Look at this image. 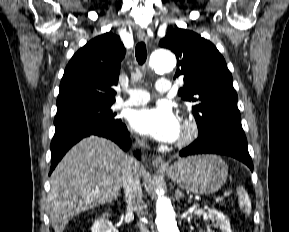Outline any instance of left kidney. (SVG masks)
<instances>
[{
	"mask_svg": "<svg viewBox=\"0 0 289 232\" xmlns=\"http://www.w3.org/2000/svg\"><path fill=\"white\" fill-rule=\"evenodd\" d=\"M205 215L214 221L216 227H218L222 232H232L229 220L222 212L216 209H209Z\"/></svg>",
	"mask_w": 289,
	"mask_h": 232,
	"instance_id": "5707ae66",
	"label": "left kidney"
}]
</instances>
